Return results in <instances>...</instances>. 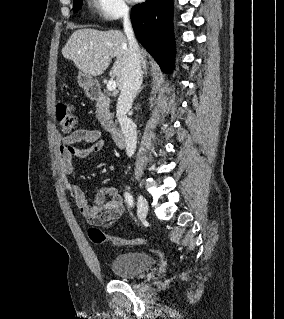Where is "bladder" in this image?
<instances>
[{
    "mask_svg": "<svg viewBox=\"0 0 284 319\" xmlns=\"http://www.w3.org/2000/svg\"><path fill=\"white\" fill-rule=\"evenodd\" d=\"M155 258L145 251H127L113 257L109 262L111 272L119 278H132L150 269Z\"/></svg>",
    "mask_w": 284,
    "mask_h": 319,
    "instance_id": "1",
    "label": "bladder"
}]
</instances>
